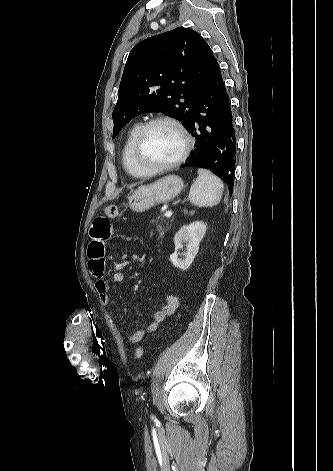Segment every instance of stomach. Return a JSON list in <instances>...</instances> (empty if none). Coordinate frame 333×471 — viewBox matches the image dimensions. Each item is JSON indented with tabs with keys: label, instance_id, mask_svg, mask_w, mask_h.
Here are the masks:
<instances>
[{
	"label": "stomach",
	"instance_id": "1",
	"mask_svg": "<svg viewBox=\"0 0 333 471\" xmlns=\"http://www.w3.org/2000/svg\"><path fill=\"white\" fill-rule=\"evenodd\" d=\"M182 188L183 181L179 176L168 175L136 189L128 197V206L133 212H145L155 205L173 200L180 194Z\"/></svg>",
	"mask_w": 333,
	"mask_h": 471
}]
</instances>
